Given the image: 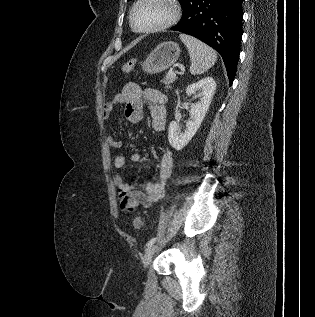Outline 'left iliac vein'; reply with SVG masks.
<instances>
[{
    "instance_id": "4c4485c4",
    "label": "left iliac vein",
    "mask_w": 315,
    "mask_h": 317,
    "mask_svg": "<svg viewBox=\"0 0 315 317\" xmlns=\"http://www.w3.org/2000/svg\"><path fill=\"white\" fill-rule=\"evenodd\" d=\"M157 250V245H152L148 247L142 257L143 267L146 268L150 264L155 252Z\"/></svg>"
}]
</instances>
